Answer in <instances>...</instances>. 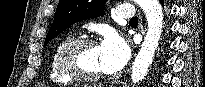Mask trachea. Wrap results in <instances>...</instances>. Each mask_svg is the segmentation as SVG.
Masks as SVG:
<instances>
[{
  "mask_svg": "<svg viewBox=\"0 0 205 87\" xmlns=\"http://www.w3.org/2000/svg\"><path fill=\"white\" fill-rule=\"evenodd\" d=\"M130 22H138V17L136 16V17L131 18Z\"/></svg>",
  "mask_w": 205,
  "mask_h": 87,
  "instance_id": "obj_1",
  "label": "trachea"
}]
</instances>
